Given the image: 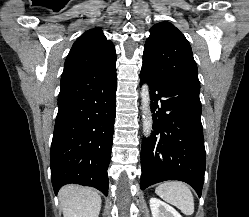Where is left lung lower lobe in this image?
<instances>
[{"label": "left lung lower lobe", "instance_id": "0a47b994", "mask_svg": "<svg viewBox=\"0 0 249 217\" xmlns=\"http://www.w3.org/2000/svg\"><path fill=\"white\" fill-rule=\"evenodd\" d=\"M140 80L149 83L153 113V131L143 139L141 149V189L179 180L191 185L200 197L206 155L199 91L155 79L144 69Z\"/></svg>", "mask_w": 249, "mask_h": 217}]
</instances>
